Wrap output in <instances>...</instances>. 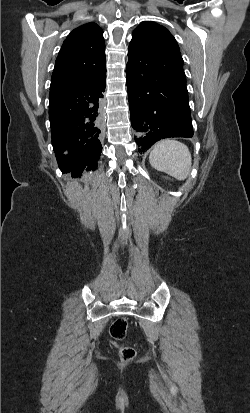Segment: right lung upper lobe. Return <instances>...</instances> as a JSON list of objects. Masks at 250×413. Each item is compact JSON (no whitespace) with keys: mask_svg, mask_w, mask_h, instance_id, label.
I'll return each mask as SVG.
<instances>
[{"mask_svg":"<svg viewBox=\"0 0 250 413\" xmlns=\"http://www.w3.org/2000/svg\"><path fill=\"white\" fill-rule=\"evenodd\" d=\"M102 29L87 23L74 29L56 59L50 91L86 83L106 70Z\"/></svg>","mask_w":250,"mask_h":413,"instance_id":"right-lung-upper-lobe-1","label":"right lung upper lobe"}]
</instances>
